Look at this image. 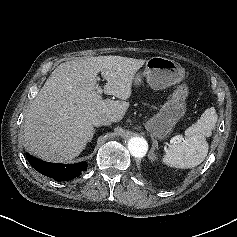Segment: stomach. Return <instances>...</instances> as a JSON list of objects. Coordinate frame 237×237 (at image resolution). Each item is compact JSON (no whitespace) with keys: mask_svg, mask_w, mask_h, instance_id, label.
<instances>
[{"mask_svg":"<svg viewBox=\"0 0 237 237\" xmlns=\"http://www.w3.org/2000/svg\"><path fill=\"white\" fill-rule=\"evenodd\" d=\"M143 76L152 89L161 90L183 81L185 71L174 60L155 56L147 60ZM141 82L142 76L137 74L134 83L140 85ZM188 94V87L185 84L179 85L160 111L147 120L145 125L152 137L162 140L172 133L176 123L187 111L185 100Z\"/></svg>","mask_w":237,"mask_h":237,"instance_id":"obj_1","label":"stomach"}]
</instances>
